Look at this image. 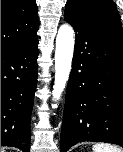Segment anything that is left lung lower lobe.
I'll use <instances>...</instances> for the list:
<instances>
[{
	"mask_svg": "<svg viewBox=\"0 0 123 152\" xmlns=\"http://www.w3.org/2000/svg\"><path fill=\"white\" fill-rule=\"evenodd\" d=\"M76 31L71 75L67 85L61 152L83 141L123 147V41L65 14Z\"/></svg>",
	"mask_w": 123,
	"mask_h": 152,
	"instance_id": "left-lung-lower-lobe-1",
	"label": "left lung lower lobe"
}]
</instances>
